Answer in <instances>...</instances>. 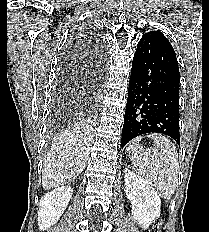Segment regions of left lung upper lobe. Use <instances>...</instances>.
Segmentation results:
<instances>
[{
	"instance_id": "left-lung-upper-lobe-1",
	"label": "left lung upper lobe",
	"mask_w": 209,
	"mask_h": 232,
	"mask_svg": "<svg viewBox=\"0 0 209 232\" xmlns=\"http://www.w3.org/2000/svg\"><path fill=\"white\" fill-rule=\"evenodd\" d=\"M142 38L143 39H157V38H159V39L163 40L169 47L173 48L172 45L170 44V42L168 41V39L160 31H150V32L146 33L145 35H143Z\"/></svg>"
}]
</instances>
